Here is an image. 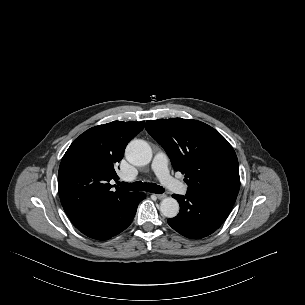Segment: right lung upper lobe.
<instances>
[{
	"mask_svg": "<svg viewBox=\"0 0 305 305\" xmlns=\"http://www.w3.org/2000/svg\"><path fill=\"white\" fill-rule=\"evenodd\" d=\"M144 128L142 122L113 121L82 133L64 154L58 173L62 206L70 220L105 209L133 192L116 188L115 166L128 142Z\"/></svg>",
	"mask_w": 305,
	"mask_h": 305,
	"instance_id": "obj_1",
	"label": "right lung upper lobe"
}]
</instances>
